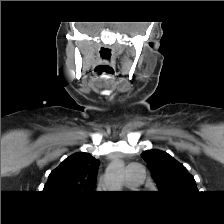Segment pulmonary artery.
Instances as JSON below:
<instances>
[{"label":"pulmonary artery","instance_id":"obj_1","mask_svg":"<svg viewBox=\"0 0 224 224\" xmlns=\"http://www.w3.org/2000/svg\"><path fill=\"white\" fill-rule=\"evenodd\" d=\"M144 181L143 170L137 165H130L126 171V185L129 187L140 186Z\"/></svg>","mask_w":224,"mask_h":224}]
</instances>
